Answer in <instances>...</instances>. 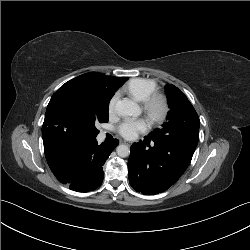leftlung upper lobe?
Listing matches in <instances>:
<instances>
[{
    "instance_id": "5c2ea615",
    "label": "left lung upper lobe",
    "mask_w": 250,
    "mask_h": 250,
    "mask_svg": "<svg viewBox=\"0 0 250 250\" xmlns=\"http://www.w3.org/2000/svg\"><path fill=\"white\" fill-rule=\"evenodd\" d=\"M165 90L170 107L167 122L163 124L162 128L155 129L147 137L165 139L171 138L172 135L199 131L200 120L198 114L186 95L172 84H167Z\"/></svg>"
}]
</instances>
